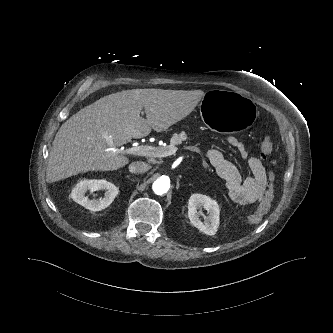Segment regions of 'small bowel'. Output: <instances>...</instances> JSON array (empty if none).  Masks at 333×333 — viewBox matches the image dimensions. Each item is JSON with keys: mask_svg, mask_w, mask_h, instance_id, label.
<instances>
[{"mask_svg": "<svg viewBox=\"0 0 333 333\" xmlns=\"http://www.w3.org/2000/svg\"><path fill=\"white\" fill-rule=\"evenodd\" d=\"M226 141L247 163L251 173L250 176L244 178L236 165L225 159L219 150H210L205 157L206 161L214 167L217 174L226 182L234 201L239 204L261 203L268 188L265 166L258 157L248 152L242 139L227 136Z\"/></svg>", "mask_w": 333, "mask_h": 333, "instance_id": "obj_1", "label": "small bowel"}]
</instances>
